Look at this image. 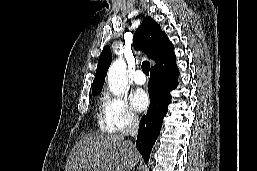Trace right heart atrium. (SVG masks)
I'll use <instances>...</instances> for the list:
<instances>
[{"instance_id":"obj_1","label":"right heart atrium","mask_w":257,"mask_h":171,"mask_svg":"<svg viewBox=\"0 0 257 171\" xmlns=\"http://www.w3.org/2000/svg\"><path fill=\"white\" fill-rule=\"evenodd\" d=\"M101 111V115L111 131H124L136 126L139 122L138 114L124 95L104 94Z\"/></svg>"}]
</instances>
